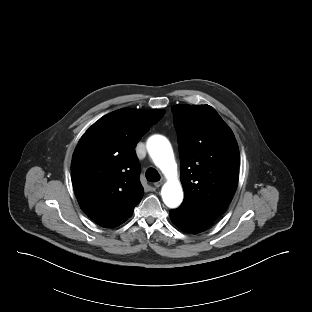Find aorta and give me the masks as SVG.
Listing matches in <instances>:
<instances>
[{
	"label": "aorta",
	"instance_id": "obj_1",
	"mask_svg": "<svg viewBox=\"0 0 312 312\" xmlns=\"http://www.w3.org/2000/svg\"><path fill=\"white\" fill-rule=\"evenodd\" d=\"M147 149L155 165L168 179L161 191L165 205L170 208L178 207L183 200V191L176 178L177 165L169 141L161 135L151 136L147 142Z\"/></svg>",
	"mask_w": 312,
	"mask_h": 312
}]
</instances>
